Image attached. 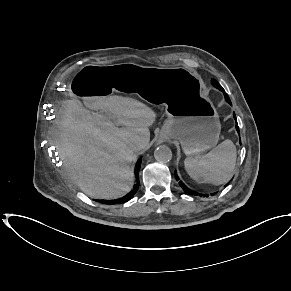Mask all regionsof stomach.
Wrapping results in <instances>:
<instances>
[{"label":"stomach","instance_id":"stomach-1","mask_svg":"<svg viewBox=\"0 0 291 291\" xmlns=\"http://www.w3.org/2000/svg\"><path fill=\"white\" fill-rule=\"evenodd\" d=\"M72 91L82 98L108 96L112 92L137 93L152 103H163L168 119L161 137L178 140L186 155L200 154L218 143V113L206 95L201 77L187 68L133 63L88 66L73 80Z\"/></svg>","mask_w":291,"mask_h":291}]
</instances>
